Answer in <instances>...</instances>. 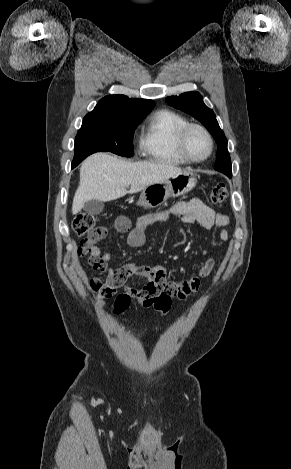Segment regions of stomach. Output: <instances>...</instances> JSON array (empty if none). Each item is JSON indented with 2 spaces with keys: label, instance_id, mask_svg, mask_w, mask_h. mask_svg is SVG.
Segmentation results:
<instances>
[{
  "label": "stomach",
  "instance_id": "1",
  "mask_svg": "<svg viewBox=\"0 0 291 469\" xmlns=\"http://www.w3.org/2000/svg\"><path fill=\"white\" fill-rule=\"evenodd\" d=\"M197 183L192 172L183 171L161 182L154 183L142 190L138 206L144 208H156L169 198H175L187 194Z\"/></svg>",
  "mask_w": 291,
  "mask_h": 469
}]
</instances>
